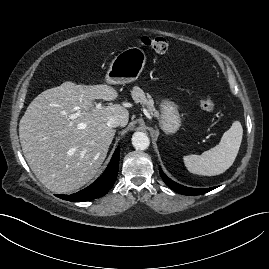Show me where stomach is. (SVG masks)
Listing matches in <instances>:
<instances>
[{"label":"stomach","mask_w":269,"mask_h":269,"mask_svg":"<svg viewBox=\"0 0 269 269\" xmlns=\"http://www.w3.org/2000/svg\"><path fill=\"white\" fill-rule=\"evenodd\" d=\"M147 56L140 47H129L120 52L113 59L106 74L109 84H125L138 79L146 64ZM161 129L167 134L176 133L181 126V118L178 106L169 99H163L160 103Z\"/></svg>","instance_id":"1"}]
</instances>
